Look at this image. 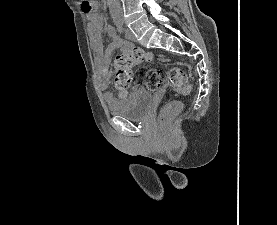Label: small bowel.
Instances as JSON below:
<instances>
[{"mask_svg": "<svg viewBox=\"0 0 277 225\" xmlns=\"http://www.w3.org/2000/svg\"><path fill=\"white\" fill-rule=\"evenodd\" d=\"M87 19L89 21V33L91 37V45L93 49V53L95 56L96 62L101 67V72L106 73L108 70V65L110 62V59L114 53V51L118 48L121 49H127L129 47L128 44H126L117 34L115 29L108 25L106 27V32L111 38L112 42L109 44V46L105 49V51H102V21L98 19L95 14H88ZM105 98L107 100H110L112 98V95L109 92H105Z\"/></svg>", "mask_w": 277, "mask_h": 225, "instance_id": "small-bowel-1", "label": "small bowel"}]
</instances>
